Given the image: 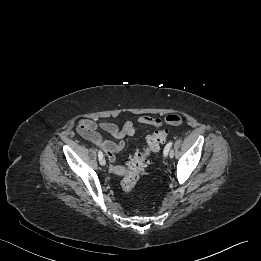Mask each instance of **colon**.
Masks as SVG:
<instances>
[{
	"instance_id": "colon-1",
	"label": "colon",
	"mask_w": 261,
	"mask_h": 261,
	"mask_svg": "<svg viewBox=\"0 0 261 261\" xmlns=\"http://www.w3.org/2000/svg\"><path fill=\"white\" fill-rule=\"evenodd\" d=\"M171 122L177 124L180 120L172 117ZM167 135L166 129L156 130L147 137L146 145L132 156L127 165L126 173L120 181V186L125 193L131 192L141 175L146 173L149 158L158 153L160 146L166 141Z\"/></svg>"
}]
</instances>
